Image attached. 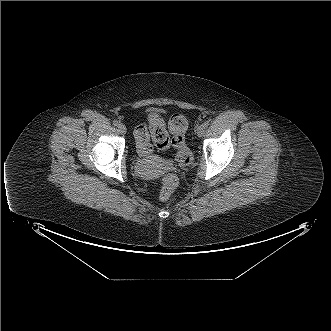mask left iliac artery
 <instances>
[{
  "label": "left iliac artery",
  "mask_w": 331,
  "mask_h": 331,
  "mask_svg": "<svg viewBox=\"0 0 331 331\" xmlns=\"http://www.w3.org/2000/svg\"><path fill=\"white\" fill-rule=\"evenodd\" d=\"M203 125H204L205 128H207V127L209 126V121H205V122L203 123Z\"/></svg>",
  "instance_id": "obj_1"
}]
</instances>
